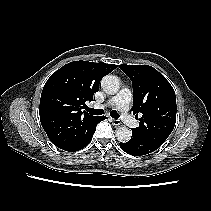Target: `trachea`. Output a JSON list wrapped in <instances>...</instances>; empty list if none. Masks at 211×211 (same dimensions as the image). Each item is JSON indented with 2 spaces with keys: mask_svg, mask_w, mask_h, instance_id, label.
I'll use <instances>...</instances> for the list:
<instances>
[{
  "mask_svg": "<svg viewBox=\"0 0 211 211\" xmlns=\"http://www.w3.org/2000/svg\"><path fill=\"white\" fill-rule=\"evenodd\" d=\"M87 111H88L89 113H91L92 115H97V116L103 114V110H102V109L88 108ZM110 116H111L112 118H115V119L119 118V114H118L117 111H115V110H113V111L110 112Z\"/></svg>",
  "mask_w": 211,
  "mask_h": 211,
  "instance_id": "3493384b",
  "label": "trachea"
}]
</instances>
